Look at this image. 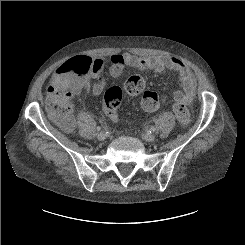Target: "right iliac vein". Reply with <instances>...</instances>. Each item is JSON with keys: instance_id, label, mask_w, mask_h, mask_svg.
Segmentation results:
<instances>
[{"instance_id": "obj_1", "label": "right iliac vein", "mask_w": 245, "mask_h": 245, "mask_svg": "<svg viewBox=\"0 0 245 245\" xmlns=\"http://www.w3.org/2000/svg\"><path fill=\"white\" fill-rule=\"evenodd\" d=\"M97 138L98 140L103 141L106 138V135L104 132H100L97 134Z\"/></svg>"}]
</instances>
